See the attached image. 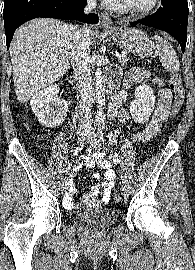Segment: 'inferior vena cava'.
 Masks as SVG:
<instances>
[{
  "mask_svg": "<svg viewBox=\"0 0 195 270\" xmlns=\"http://www.w3.org/2000/svg\"><path fill=\"white\" fill-rule=\"evenodd\" d=\"M95 8L96 0H87L86 10L91 11ZM89 44L90 36L88 28H78L73 35L71 64L74 69V79L77 82V87L80 94V129L90 132L92 130L90 118L92 116V106L94 103V88L91 76V59Z\"/></svg>",
  "mask_w": 195,
  "mask_h": 270,
  "instance_id": "602c4592",
  "label": "inferior vena cava"
}]
</instances>
